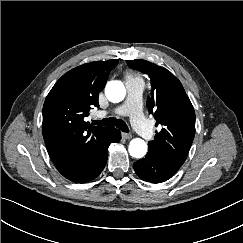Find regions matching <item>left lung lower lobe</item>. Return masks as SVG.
Returning <instances> with one entry per match:
<instances>
[{
	"instance_id": "0a47b994",
	"label": "left lung lower lobe",
	"mask_w": 243,
	"mask_h": 243,
	"mask_svg": "<svg viewBox=\"0 0 243 243\" xmlns=\"http://www.w3.org/2000/svg\"><path fill=\"white\" fill-rule=\"evenodd\" d=\"M181 167L164 155L149 149L146 157L134 163L136 174L144 181L161 183L170 179Z\"/></svg>"
}]
</instances>
